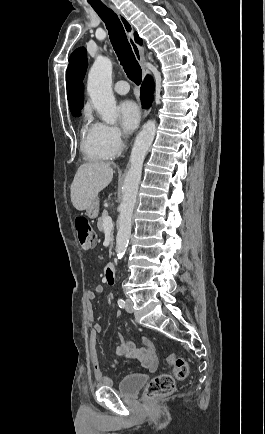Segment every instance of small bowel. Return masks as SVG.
Listing matches in <instances>:
<instances>
[{"instance_id": "obj_1", "label": "small bowel", "mask_w": 265, "mask_h": 434, "mask_svg": "<svg viewBox=\"0 0 265 434\" xmlns=\"http://www.w3.org/2000/svg\"><path fill=\"white\" fill-rule=\"evenodd\" d=\"M103 292V286L98 284L92 290H88L85 294L86 300L89 305V319L94 321V311L92 308V303L94 302L96 295ZM117 318H122V313L119 310L115 311ZM101 325L96 323L92 329L91 335L94 339L101 332ZM142 347H137L136 344L126 339L125 337H120V344L118 347L119 352L125 356L131 354L135 355L139 360H141L147 368L153 372L157 369V356L156 348L153 340L148 336L141 337ZM93 369L95 376L97 377L99 387H110L112 385V380L108 378L107 374L102 373V365L97 355L93 357Z\"/></svg>"}]
</instances>
